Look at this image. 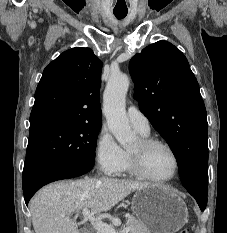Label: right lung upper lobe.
<instances>
[{"label":"right lung upper lobe","mask_w":227,"mask_h":233,"mask_svg":"<svg viewBox=\"0 0 227 233\" xmlns=\"http://www.w3.org/2000/svg\"><path fill=\"white\" fill-rule=\"evenodd\" d=\"M102 62L90 48L60 54L43 71L30 115V134L59 125L101 123Z\"/></svg>","instance_id":"cb5924a9"}]
</instances>
